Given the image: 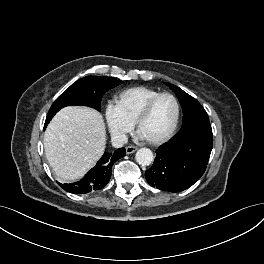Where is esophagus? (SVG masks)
Returning <instances> with one entry per match:
<instances>
[{
  "label": "esophagus",
  "instance_id": "obj_1",
  "mask_svg": "<svg viewBox=\"0 0 264 264\" xmlns=\"http://www.w3.org/2000/svg\"><path fill=\"white\" fill-rule=\"evenodd\" d=\"M138 148L136 146H128L126 147V153L127 154H132L134 153Z\"/></svg>",
  "mask_w": 264,
  "mask_h": 264
}]
</instances>
